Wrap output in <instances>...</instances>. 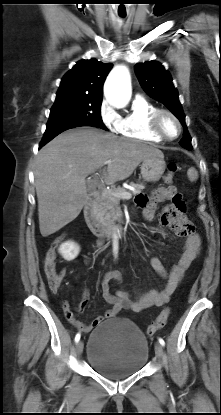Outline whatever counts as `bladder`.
<instances>
[{
	"label": "bladder",
	"instance_id": "obj_1",
	"mask_svg": "<svg viewBox=\"0 0 221 415\" xmlns=\"http://www.w3.org/2000/svg\"><path fill=\"white\" fill-rule=\"evenodd\" d=\"M149 357L147 338L126 318H112L99 324L87 345V360L99 374L122 379L140 371Z\"/></svg>",
	"mask_w": 221,
	"mask_h": 415
}]
</instances>
